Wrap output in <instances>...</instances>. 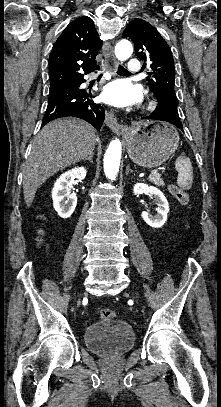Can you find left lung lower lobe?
I'll use <instances>...</instances> for the list:
<instances>
[{"label":"left lung lower lobe","instance_id":"left-lung-lower-lobe-1","mask_svg":"<svg viewBox=\"0 0 221 407\" xmlns=\"http://www.w3.org/2000/svg\"><path fill=\"white\" fill-rule=\"evenodd\" d=\"M167 100L168 98H163L162 100L158 101L155 111L151 113V115L143 117L142 119L166 121L182 130L183 126L179 118L178 111L173 109Z\"/></svg>","mask_w":221,"mask_h":407}]
</instances>
